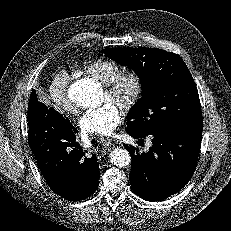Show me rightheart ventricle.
Here are the masks:
<instances>
[{"label":"right heart ventricle","mask_w":231,"mask_h":231,"mask_svg":"<svg viewBox=\"0 0 231 231\" xmlns=\"http://www.w3.org/2000/svg\"><path fill=\"white\" fill-rule=\"evenodd\" d=\"M81 72L105 86L121 75L123 68L113 61L99 59L82 66Z\"/></svg>","instance_id":"1"}]
</instances>
